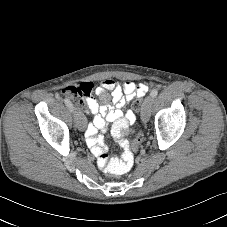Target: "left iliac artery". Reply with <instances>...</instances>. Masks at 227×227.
<instances>
[{
  "label": "left iliac artery",
  "instance_id": "obj_1",
  "mask_svg": "<svg viewBox=\"0 0 227 227\" xmlns=\"http://www.w3.org/2000/svg\"><path fill=\"white\" fill-rule=\"evenodd\" d=\"M150 95L152 98H155L158 95V90H156V89L152 90Z\"/></svg>",
  "mask_w": 227,
  "mask_h": 227
}]
</instances>
